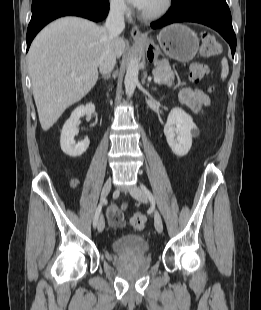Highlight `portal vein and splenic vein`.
<instances>
[{
  "label": "portal vein and splenic vein",
  "mask_w": 261,
  "mask_h": 310,
  "mask_svg": "<svg viewBox=\"0 0 261 310\" xmlns=\"http://www.w3.org/2000/svg\"><path fill=\"white\" fill-rule=\"evenodd\" d=\"M160 81V78L154 77V82L158 83Z\"/></svg>",
  "instance_id": "obj_1"
}]
</instances>
